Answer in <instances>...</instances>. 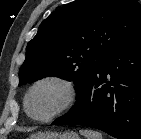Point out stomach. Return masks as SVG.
Listing matches in <instances>:
<instances>
[{
  "instance_id": "1",
  "label": "stomach",
  "mask_w": 141,
  "mask_h": 139,
  "mask_svg": "<svg viewBox=\"0 0 141 139\" xmlns=\"http://www.w3.org/2000/svg\"><path fill=\"white\" fill-rule=\"evenodd\" d=\"M29 139H80L79 135L75 132H45L32 135Z\"/></svg>"
}]
</instances>
